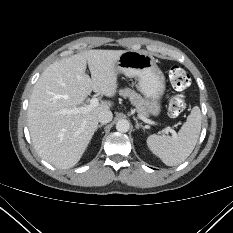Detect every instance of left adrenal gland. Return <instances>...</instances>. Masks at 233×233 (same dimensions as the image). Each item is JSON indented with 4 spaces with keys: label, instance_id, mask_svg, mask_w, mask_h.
<instances>
[{
    "label": "left adrenal gland",
    "instance_id": "1",
    "mask_svg": "<svg viewBox=\"0 0 233 233\" xmlns=\"http://www.w3.org/2000/svg\"><path fill=\"white\" fill-rule=\"evenodd\" d=\"M136 125L135 128L138 130L139 128L143 127L142 124H139L137 119H135Z\"/></svg>",
    "mask_w": 233,
    "mask_h": 233
}]
</instances>
